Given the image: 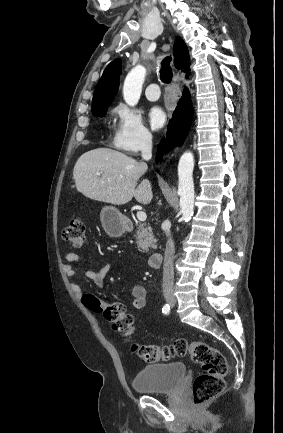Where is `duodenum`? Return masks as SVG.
Segmentation results:
<instances>
[{"label": "duodenum", "instance_id": "obj_1", "mask_svg": "<svg viewBox=\"0 0 283 433\" xmlns=\"http://www.w3.org/2000/svg\"><path fill=\"white\" fill-rule=\"evenodd\" d=\"M163 255L160 252L153 253L149 258V265L152 268H159L162 264Z\"/></svg>", "mask_w": 283, "mask_h": 433}]
</instances>
